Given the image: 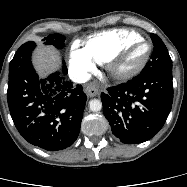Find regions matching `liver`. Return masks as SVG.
Listing matches in <instances>:
<instances>
[{
    "instance_id": "obj_1",
    "label": "liver",
    "mask_w": 187,
    "mask_h": 187,
    "mask_svg": "<svg viewBox=\"0 0 187 187\" xmlns=\"http://www.w3.org/2000/svg\"><path fill=\"white\" fill-rule=\"evenodd\" d=\"M34 65L39 74L51 72L59 65V53L52 47L40 46L34 57Z\"/></svg>"
}]
</instances>
